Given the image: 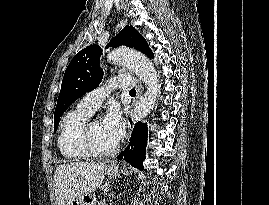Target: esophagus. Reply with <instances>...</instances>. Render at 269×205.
<instances>
[{"mask_svg":"<svg viewBox=\"0 0 269 205\" xmlns=\"http://www.w3.org/2000/svg\"><path fill=\"white\" fill-rule=\"evenodd\" d=\"M142 92H143V87H142L141 82L138 80L136 99H138L141 96ZM127 125H128V134L130 136V134H131V132L133 130V127H134V120H133V117H132V113L128 117Z\"/></svg>","mask_w":269,"mask_h":205,"instance_id":"34e87169","label":"esophagus"}]
</instances>
